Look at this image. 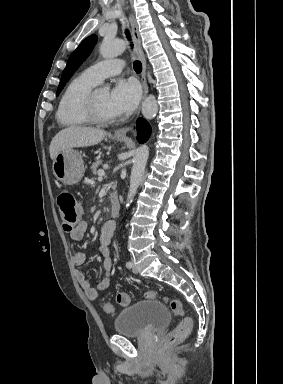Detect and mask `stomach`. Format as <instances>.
<instances>
[{"label":"stomach","instance_id":"obj_1","mask_svg":"<svg viewBox=\"0 0 283 384\" xmlns=\"http://www.w3.org/2000/svg\"><path fill=\"white\" fill-rule=\"evenodd\" d=\"M116 142H126L127 138H114ZM52 170L55 178L64 186H73L80 182L84 174V162L80 152L68 148L57 154L53 160Z\"/></svg>","mask_w":283,"mask_h":384}]
</instances>
